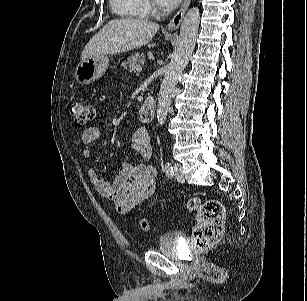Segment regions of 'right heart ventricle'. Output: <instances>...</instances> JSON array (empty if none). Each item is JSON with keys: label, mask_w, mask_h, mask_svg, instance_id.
Here are the masks:
<instances>
[{"label": "right heart ventricle", "mask_w": 307, "mask_h": 301, "mask_svg": "<svg viewBox=\"0 0 307 301\" xmlns=\"http://www.w3.org/2000/svg\"><path fill=\"white\" fill-rule=\"evenodd\" d=\"M112 10L126 18L145 19L149 13L146 0H110Z\"/></svg>", "instance_id": "e07e8e85"}]
</instances>
